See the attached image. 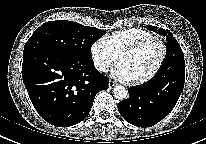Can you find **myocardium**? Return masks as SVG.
I'll use <instances>...</instances> for the list:
<instances>
[{"label": "myocardium", "mask_w": 206, "mask_h": 144, "mask_svg": "<svg viewBox=\"0 0 206 144\" xmlns=\"http://www.w3.org/2000/svg\"><path fill=\"white\" fill-rule=\"evenodd\" d=\"M151 43H157L159 45V47H160L159 59L155 65V67L153 68V70L150 73H148L146 76H144L140 79L133 80V83L135 85L146 84V83L150 82L151 80H153L158 75V73L160 72V70L164 64L166 56H167V45H166L165 41L159 37L152 36V37L143 39L141 41H138L136 43H133V44L125 47L118 55V60L121 61V59L124 56L135 53Z\"/></svg>", "instance_id": "obj_1"}]
</instances>
